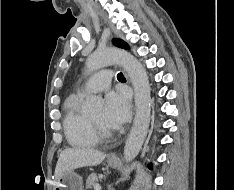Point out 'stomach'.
<instances>
[{"mask_svg": "<svg viewBox=\"0 0 234 190\" xmlns=\"http://www.w3.org/2000/svg\"><path fill=\"white\" fill-rule=\"evenodd\" d=\"M118 164L119 161H108L111 167ZM54 190H83L82 178L72 170L66 171L56 180Z\"/></svg>", "mask_w": 234, "mask_h": 190, "instance_id": "1", "label": "stomach"}]
</instances>
